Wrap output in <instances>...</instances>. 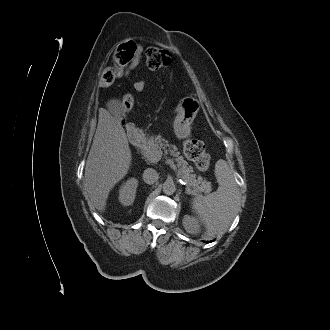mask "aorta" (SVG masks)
Masks as SVG:
<instances>
[{"mask_svg": "<svg viewBox=\"0 0 330 330\" xmlns=\"http://www.w3.org/2000/svg\"><path fill=\"white\" fill-rule=\"evenodd\" d=\"M162 190L166 195H172L176 191V186L173 181L166 180L162 185Z\"/></svg>", "mask_w": 330, "mask_h": 330, "instance_id": "762f6f07", "label": "aorta"}]
</instances>
